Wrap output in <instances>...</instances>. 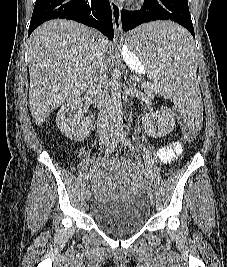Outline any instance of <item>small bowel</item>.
Instances as JSON below:
<instances>
[{
	"label": "small bowel",
	"instance_id": "c3829d8e",
	"mask_svg": "<svg viewBox=\"0 0 227 267\" xmlns=\"http://www.w3.org/2000/svg\"><path fill=\"white\" fill-rule=\"evenodd\" d=\"M182 152V146L178 141H171L166 146L157 151V156L162 163H170L175 160ZM118 189L114 186H104L99 182L94 185V192L99 196H112Z\"/></svg>",
	"mask_w": 227,
	"mask_h": 267
}]
</instances>
